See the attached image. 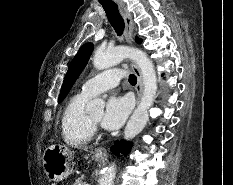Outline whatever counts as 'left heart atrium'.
Wrapping results in <instances>:
<instances>
[{
    "label": "left heart atrium",
    "instance_id": "1",
    "mask_svg": "<svg viewBox=\"0 0 233 185\" xmlns=\"http://www.w3.org/2000/svg\"><path fill=\"white\" fill-rule=\"evenodd\" d=\"M131 110V102L126 96H112L106 103L101 117V124L105 129L119 128L128 117Z\"/></svg>",
    "mask_w": 233,
    "mask_h": 185
}]
</instances>
